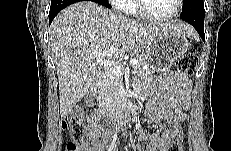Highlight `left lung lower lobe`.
I'll use <instances>...</instances> for the list:
<instances>
[{
	"mask_svg": "<svg viewBox=\"0 0 231 151\" xmlns=\"http://www.w3.org/2000/svg\"><path fill=\"white\" fill-rule=\"evenodd\" d=\"M204 16H205L204 6H196L192 8L190 13L188 14L181 13L180 18L190 23L197 30L202 40L205 42Z\"/></svg>",
	"mask_w": 231,
	"mask_h": 151,
	"instance_id": "obj_1",
	"label": "left lung lower lobe"
}]
</instances>
